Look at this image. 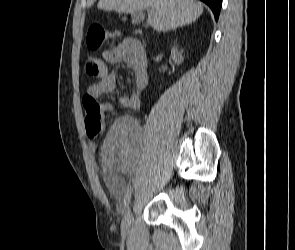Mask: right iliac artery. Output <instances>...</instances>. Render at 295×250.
<instances>
[{
  "label": "right iliac artery",
  "mask_w": 295,
  "mask_h": 250,
  "mask_svg": "<svg viewBox=\"0 0 295 250\" xmlns=\"http://www.w3.org/2000/svg\"><path fill=\"white\" fill-rule=\"evenodd\" d=\"M131 191H132V188H128L127 189V192L125 194V197H124V206L126 207L129 203V200H130V197H131Z\"/></svg>",
  "instance_id": "82829eb1"
}]
</instances>
